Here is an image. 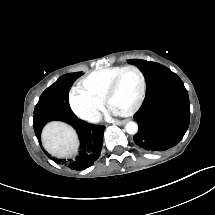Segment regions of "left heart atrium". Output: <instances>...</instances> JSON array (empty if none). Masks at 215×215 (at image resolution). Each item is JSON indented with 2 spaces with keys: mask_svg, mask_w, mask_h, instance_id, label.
Segmentation results:
<instances>
[{
  "mask_svg": "<svg viewBox=\"0 0 215 215\" xmlns=\"http://www.w3.org/2000/svg\"><path fill=\"white\" fill-rule=\"evenodd\" d=\"M110 114H111V113L108 111V109L105 108V110H104V115H105V116H108V115H110Z\"/></svg>",
  "mask_w": 215,
  "mask_h": 215,
  "instance_id": "left-heart-atrium-1",
  "label": "left heart atrium"
}]
</instances>
